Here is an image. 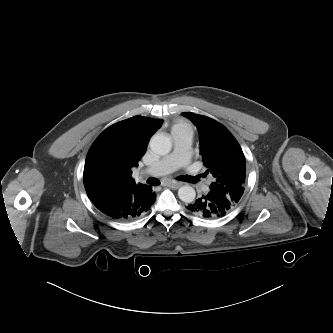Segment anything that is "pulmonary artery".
<instances>
[{"instance_id":"pulmonary-artery-1","label":"pulmonary artery","mask_w":333,"mask_h":333,"mask_svg":"<svg viewBox=\"0 0 333 333\" xmlns=\"http://www.w3.org/2000/svg\"><path fill=\"white\" fill-rule=\"evenodd\" d=\"M174 140L173 151L163 157L150 167L146 168L142 174L160 176L170 173L181 166H188L191 158V144L193 133L188 127L177 129L172 132ZM193 174V171H189Z\"/></svg>"}]
</instances>
